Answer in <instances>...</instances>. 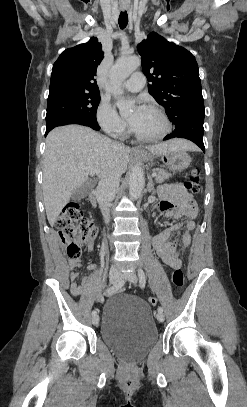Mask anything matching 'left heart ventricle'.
<instances>
[{
    "instance_id": "obj_1",
    "label": "left heart ventricle",
    "mask_w": 247,
    "mask_h": 407,
    "mask_svg": "<svg viewBox=\"0 0 247 407\" xmlns=\"http://www.w3.org/2000/svg\"><path fill=\"white\" fill-rule=\"evenodd\" d=\"M133 128L139 135L150 138L160 135L165 125L156 112L145 109Z\"/></svg>"
}]
</instances>
